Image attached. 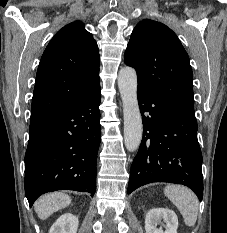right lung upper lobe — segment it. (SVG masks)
I'll return each mask as SVG.
<instances>
[{
	"instance_id": "1",
	"label": "right lung upper lobe",
	"mask_w": 227,
	"mask_h": 233,
	"mask_svg": "<svg viewBox=\"0 0 227 233\" xmlns=\"http://www.w3.org/2000/svg\"><path fill=\"white\" fill-rule=\"evenodd\" d=\"M99 50L80 21L64 26L46 47L36 74L31 122L87 95L99 84Z\"/></svg>"
}]
</instances>
